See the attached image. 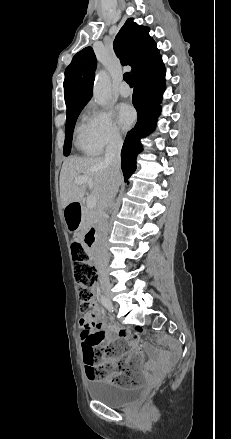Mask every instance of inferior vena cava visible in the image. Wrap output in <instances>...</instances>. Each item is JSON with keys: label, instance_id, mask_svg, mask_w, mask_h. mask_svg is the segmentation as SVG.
Returning a JSON list of instances; mask_svg holds the SVG:
<instances>
[{"label": "inferior vena cava", "instance_id": "inferior-vena-cava-1", "mask_svg": "<svg viewBox=\"0 0 231 439\" xmlns=\"http://www.w3.org/2000/svg\"><path fill=\"white\" fill-rule=\"evenodd\" d=\"M122 144L123 142L121 137L119 135H115L112 137L106 148L104 161L110 169L111 183L105 197L103 208L111 207L118 192V187L120 184L119 182L122 178L120 158ZM96 252V264L99 268H102L103 265L109 260L108 250L103 240L97 245ZM101 277L107 279V275L103 272L101 273Z\"/></svg>", "mask_w": 231, "mask_h": 439}]
</instances>
